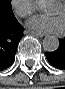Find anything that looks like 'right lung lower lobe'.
I'll use <instances>...</instances> for the list:
<instances>
[{
  "instance_id": "right-lung-lower-lobe-1",
  "label": "right lung lower lobe",
  "mask_w": 65,
  "mask_h": 89,
  "mask_svg": "<svg viewBox=\"0 0 65 89\" xmlns=\"http://www.w3.org/2000/svg\"><path fill=\"white\" fill-rule=\"evenodd\" d=\"M23 30L15 16L5 17L0 15V71L7 69L14 62Z\"/></svg>"
}]
</instances>
